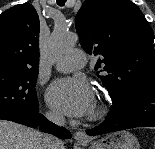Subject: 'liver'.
I'll return each instance as SVG.
<instances>
[{
  "label": "liver",
  "instance_id": "1",
  "mask_svg": "<svg viewBox=\"0 0 155 149\" xmlns=\"http://www.w3.org/2000/svg\"><path fill=\"white\" fill-rule=\"evenodd\" d=\"M44 136L34 129L0 120V149H43Z\"/></svg>",
  "mask_w": 155,
  "mask_h": 149
}]
</instances>
